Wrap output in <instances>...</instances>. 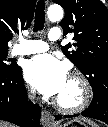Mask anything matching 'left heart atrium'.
Listing matches in <instances>:
<instances>
[{"label": "left heart atrium", "mask_w": 108, "mask_h": 127, "mask_svg": "<svg viewBox=\"0 0 108 127\" xmlns=\"http://www.w3.org/2000/svg\"><path fill=\"white\" fill-rule=\"evenodd\" d=\"M27 81L41 93L56 96L67 81L65 65L51 55H39L27 62L25 68Z\"/></svg>", "instance_id": "1"}]
</instances>
